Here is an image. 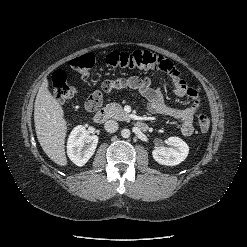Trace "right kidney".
<instances>
[{
  "mask_svg": "<svg viewBox=\"0 0 247 247\" xmlns=\"http://www.w3.org/2000/svg\"><path fill=\"white\" fill-rule=\"evenodd\" d=\"M98 144L96 135H89L84 126H76L67 142V154L77 166H84L92 157Z\"/></svg>",
  "mask_w": 247,
  "mask_h": 247,
  "instance_id": "ca27d5eb",
  "label": "right kidney"
}]
</instances>
